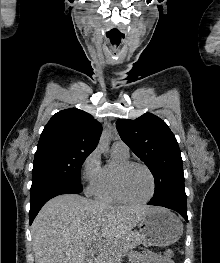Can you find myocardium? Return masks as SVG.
I'll return each instance as SVG.
<instances>
[{"instance_id": "f54148a6", "label": "myocardium", "mask_w": 220, "mask_h": 263, "mask_svg": "<svg viewBox=\"0 0 220 263\" xmlns=\"http://www.w3.org/2000/svg\"><path fill=\"white\" fill-rule=\"evenodd\" d=\"M133 166L142 167L148 173L150 180H151L150 194L142 200H132V199L128 198L125 195L124 190H123V186H122L123 174L127 169H129L130 167H133ZM113 180H114V189H115V192H116L118 198L121 200V202H124L127 204H131V205L145 204L153 198L155 191H156L155 176H154L153 172L151 171V169L146 164H144L142 162L127 160V161H123V162L117 164V166L114 169Z\"/></svg>"}]
</instances>
